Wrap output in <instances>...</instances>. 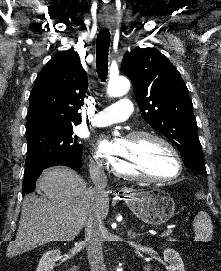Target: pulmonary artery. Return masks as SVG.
<instances>
[{
    "instance_id": "e3ab8cb5",
    "label": "pulmonary artery",
    "mask_w": 221,
    "mask_h": 271,
    "mask_svg": "<svg viewBox=\"0 0 221 271\" xmlns=\"http://www.w3.org/2000/svg\"><path fill=\"white\" fill-rule=\"evenodd\" d=\"M114 106L107 107V112H90L91 121H88V126H93V124L95 126H109V124L112 126L113 122H134V117L130 116L132 107H130L129 98H120V102H115Z\"/></svg>"
}]
</instances>
